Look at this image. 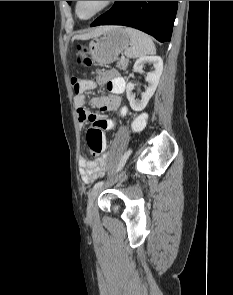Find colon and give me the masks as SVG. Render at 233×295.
I'll return each mask as SVG.
<instances>
[{
  "label": "colon",
  "instance_id": "obj_1",
  "mask_svg": "<svg viewBox=\"0 0 233 295\" xmlns=\"http://www.w3.org/2000/svg\"><path fill=\"white\" fill-rule=\"evenodd\" d=\"M77 48L79 50V64L83 66H89L91 62L88 58L83 56V47L79 45ZM72 85L76 94H84L86 92L91 91L94 88V83L92 81L81 80L77 78L73 79ZM144 122L145 116H139L134 122V129H141L144 125ZM87 144L92 155H99L105 147L103 131L98 127H91L87 131Z\"/></svg>",
  "mask_w": 233,
  "mask_h": 295
}]
</instances>
